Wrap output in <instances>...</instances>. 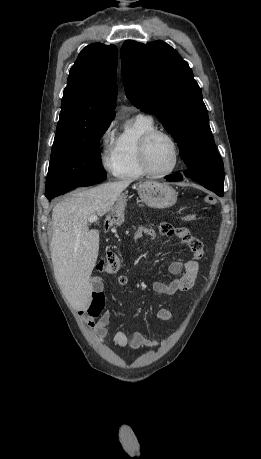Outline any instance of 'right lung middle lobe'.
<instances>
[{
    "instance_id": "1",
    "label": "right lung middle lobe",
    "mask_w": 261,
    "mask_h": 459,
    "mask_svg": "<svg viewBox=\"0 0 261 459\" xmlns=\"http://www.w3.org/2000/svg\"><path fill=\"white\" fill-rule=\"evenodd\" d=\"M109 125L110 122L101 123L76 134L54 139L46 179L47 198L106 179L98 147Z\"/></svg>"
}]
</instances>
